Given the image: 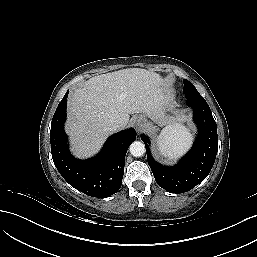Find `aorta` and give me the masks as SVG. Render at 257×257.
<instances>
[{
	"label": "aorta",
	"mask_w": 257,
	"mask_h": 257,
	"mask_svg": "<svg viewBox=\"0 0 257 257\" xmlns=\"http://www.w3.org/2000/svg\"><path fill=\"white\" fill-rule=\"evenodd\" d=\"M129 150L134 157H141L145 153V145L140 141H134Z\"/></svg>",
	"instance_id": "762f6f07"
}]
</instances>
